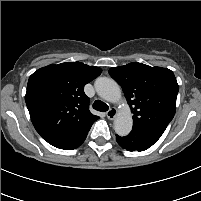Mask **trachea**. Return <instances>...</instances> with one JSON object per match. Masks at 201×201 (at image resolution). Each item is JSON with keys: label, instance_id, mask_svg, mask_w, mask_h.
<instances>
[{"label": "trachea", "instance_id": "obj_1", "mask_svg": "<svg viewBox=\"0 0 201 201\" xmlns=\"http://www.w3.org/2000/svg\"><path fill=\"white\" fill-rule=\"evenodd\" d=\"M93 108L100 112H106L109 109L108 105L106 103L102 102L101 100H96L93 103Z\"/></svg>", "mask_w": 201, "mask_h": 201}]
</instances>
